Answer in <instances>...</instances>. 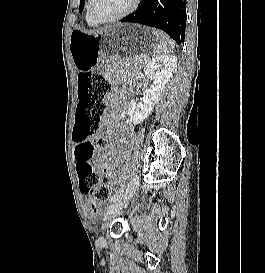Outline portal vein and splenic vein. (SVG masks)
<instances>
[{"label":"portal vein and splenic vein","instance_id":"portal-vein-and-splenic-vein-1","mask_svg":"<svg viewBox=\"0 0 265 273\" xmlns=\"http://www.w3.org/2000/svg\"><path fill=\"white\" fill-rule=\"evenodd\" d=\"M143 58H144V60H146V59H147V56L144 55Z\"/></svg>","mask_w":265,"mask_h":273}]
</instances>
